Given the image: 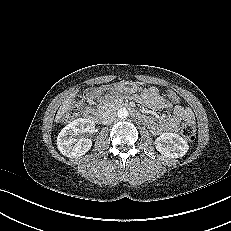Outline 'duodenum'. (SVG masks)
<instances>
[{"instance_id":"obj_1","label":"duodenum","mask_w":231,"mask_h":231,"mask_svg":"<svg viewBox=\"0 0 231 231\" xmlns=\"http://www.w3.org/2000/svg\"><path fill=\"white\" fill-rule=\"evenodd\" d=\"M113 108L114 109H123V108L130 109L137 119L143 120V116L138 111H136L135 106L133 104L126 103V102H118L113 106ZM110 109L111 108L101 109L98 111L97 114L91 112L90 119L94 122H101L105 118V116L108 114Z\"/></svg>"}]
</instances>
